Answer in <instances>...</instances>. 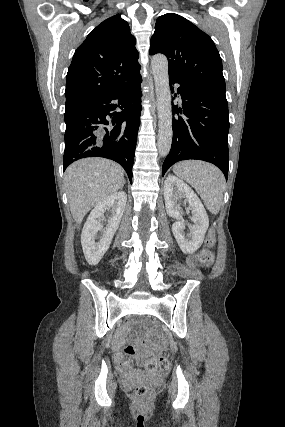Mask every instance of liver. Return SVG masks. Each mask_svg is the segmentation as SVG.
Returning <instances> with one entry per match:
<instances>
[{
    "mask_svg": "<svg viewBox=\"0 0 285 427\" xmlns=\"http://www.w3.org/2000/svg\"><path fill=\"white\" fill-rule=\"evenodd\" d=\"M64 182L72 216L79 225L89 210L117 193L124 184V170L108 159L85 158L66 169Z\"/></svg>",
    "mask_w": 285,
    "mask_h": 427,
    "instance_id": "6515ba94",
    "label": "liver"
}]
</instances>
